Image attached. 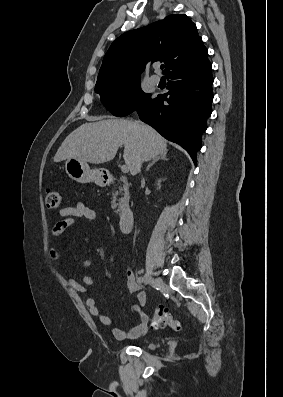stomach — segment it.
Listing matches in <instances>:
<instances>
[{
  "label": "stomach",
  "instance_id": "0dacf381",
  "mask_svg": "<svg viewBox=\"0 0 283 397\" xmlns=\"http://www.w3.org/2000/svg\"><path fill=\"white\" fill-rule=\"evenodd\" d=\"M65 171L70 178L80 183L95 182L103 185V171L101 169L92 170L88 163L76 158H69L65 163Z\"/></svg>",
  "mask_w": 283,
  "mask_h": 397
}]
</instances>
